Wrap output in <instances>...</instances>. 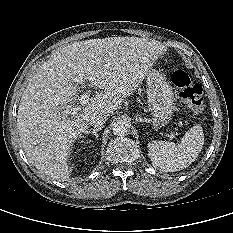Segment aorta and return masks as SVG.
Here are the masks:
<instances>
[{
    "label": "aorta",
    "mask_w": 233,
    "mask_h": 233,
    "mask_svg": "<svg viewBox=\"0 0 233 233\" xmlns=\"http://www.w3.org/2000/svg\"><path fill=\"white\" fill-rule=\"evenodd\" d=\"M113 132L117 136H125L130 132V123L127 120H117L113 123Z\"/></svg>",
    "instance_id": "1"
}]
</instances>
